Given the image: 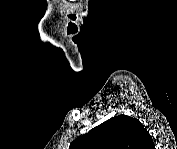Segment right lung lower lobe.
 <instances>
[{
  "label": "right lung lower lobe",
  "mask_w": 177,
  "mask_h": 149,
  "mask_svg": "<svg viewBox=\"0 0 177 149\" xmlns=\"http://www.w3.org/2000/svg\"><path fill=\"white\" fill-rule=\"evenodd\" d=\"M144 142L148 143V145H147V146H149V145H150V143H152V142H153V140H152V138H151L150 134H148V136H146V137L144 138ZM153 146H154V143H152L151 147H153Z\"/></svg>",
  "instance_id": "1"
}]
</instances>
